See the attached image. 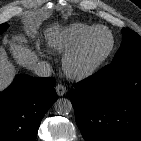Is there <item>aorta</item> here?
Returning <instances> with one entry per match:
<instances>
[{"label": "aorta", "instance_id": "obj_1", "mask_svg": "<svg viewBox=\"0 0 141 141\" xmlns=\"http://www.w3.org/2000/svg\"><path fill=\"white\" fill-rule=\"evenodd\" d=\"M54 107L55 111L60 115L69 114L73 109L71 101L67 98H59L55 102Z\"/></svg>", "mask_w": 141, "mask_h": 141}]
</instances>
